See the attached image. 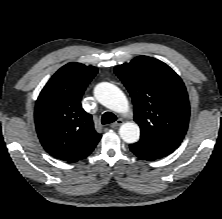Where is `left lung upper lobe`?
<instances>
[{"instance_id": "5c2ea615", "label": "left lung upper lobe", "mask_w": 222, "mask_h": 219, "mask_svg": "<svg viewBox=\"0 0 222 219\" xmlns=\"http://www.w3.org/2000/svg\"><path fill=\"white\" fill-rule=\"evenodd\" d=\"M134 104L141 139L177 148L189 123L190 107L181 78L162 61L139 56L114 68Z\"/></svg>"}]
</instances>
